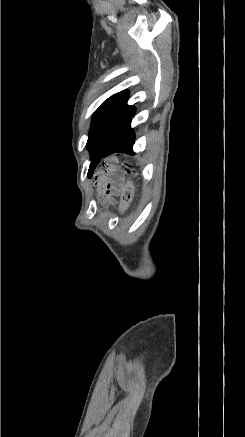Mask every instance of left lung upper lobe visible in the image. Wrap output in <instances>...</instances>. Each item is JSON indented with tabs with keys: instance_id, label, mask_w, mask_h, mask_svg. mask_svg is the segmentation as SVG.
<instances>
[{
	"instance_id": "5c2ea615",
	"label": "left lung upper lobe",
	"mask_w": 245,
	"mask_h": 437,
	"mask_svg": "<svg viewBox=\"0 0 245 437\" xmlns=\"http://www.w3.org/2000/svg\"><path fill=\"white\" fill-rule=\"evenodd\" d=\"M127 99L128 91H121L105 100L95 111L87 141L92 164L113 128L130 109L131 106L127 105ZM93 170L90 167L89 172H93Z\"/></svg>"
}]
</instances>
